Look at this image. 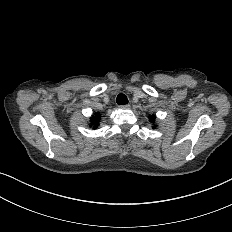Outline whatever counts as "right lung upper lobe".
Returning a JSON list of instances; mask_svg holds the SVG:
<instances>
[{
    "label": "right lung upper lobe",
    "mask_w": 232,
    "mask_h": 232,
    "mask_svg": "<svg viewBox=\"0 0 232 232\" xmlns=\"http://www.w3.org/2000/svg\"><path fill=\"white\" fill-rule=\"evenodd\" d=\"M99 120H100V114L95 113L94 116H92L90 119L91 122L90 126H93L94 129L97 128L99 125Z\"/></svg>",
    "instance_id": "cb5924a9"
}]
</instances>
